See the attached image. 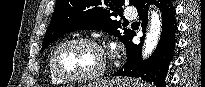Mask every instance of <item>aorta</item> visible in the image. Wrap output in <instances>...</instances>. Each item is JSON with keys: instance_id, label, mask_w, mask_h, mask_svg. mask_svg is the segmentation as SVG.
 I'll list each match as a JSON object with an SVG mask.
<instances>
[{"instance_id": "762f6f07", "label": "aorta", "mask_w": 205, "mask_h": 87, "mask_svg": "<svg viewBox=\"0 0 205 87\" xmlns=\"http://www.w3.org/2000/svg\"><path fill=\"white\" fill-rule=\"evenodd\" d=\"M150 28L146 34L145 43L143 47V58H148L155 50L161 35V16L153 10L150 15Z\"/></svg>"}]
</instances>
